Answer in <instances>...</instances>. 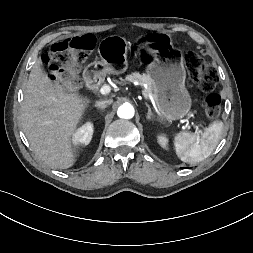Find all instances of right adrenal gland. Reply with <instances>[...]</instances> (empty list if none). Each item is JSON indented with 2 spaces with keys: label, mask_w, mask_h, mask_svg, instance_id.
<instances>
[{
  "label": "right adrenal gland",
  "mask_w": 253,
  "mask_h": 253,
  "mask_svg": "<svg viewBox=\"0 0 253 253\" xmlns=\"http://www.w3.org/2000/svg\"><path fill=\"white\" fill-rule=\"evenodd\" d=\"M94 107H96L97 109L103 111L106 107L105 106H98V105H94Z\"/></svg>",
  "instance_id": "obj_1"
}]
</instances>
